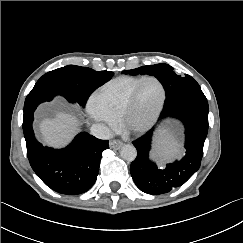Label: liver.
<instances>
[{
  "label": "liver",
  "instance_id": "1",
  "mask_svg": "<svg viewBox=\"0 0 243 243\" xmlns=\"http://www.w3.org/2000/svg\"><path fill=\"white\" fill-rule=\"evenodd\" d=\"M79 121L70 112L55 111L53 118H45L39 124L43 143L59 147L67 144L78 131Z\"/></svg>",
  "mask_w": 243,
  "mask_h": 243
}]
</instances>
